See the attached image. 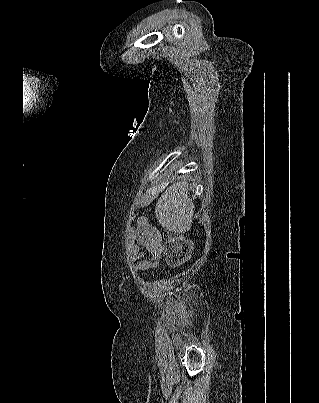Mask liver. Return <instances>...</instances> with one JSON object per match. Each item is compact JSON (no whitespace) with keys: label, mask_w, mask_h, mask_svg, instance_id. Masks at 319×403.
Listing matches in <instances>:
<instances>
[{"label":"liver","mask_w":319,"mask_h":403,"mask_svg":"<svg viewBox=\"0 0 319 403\" xmlns=\"http://www.w3.org/2000/svg\"><path fill=\"white\" fill-rule=\"evenodd\" d=\"M188 190L186 181L177 182L158 199L156 218L166 230L181 234L190 230L195 207Z\"/></svg>","instance_id":"liver-1"}]
</instances>
